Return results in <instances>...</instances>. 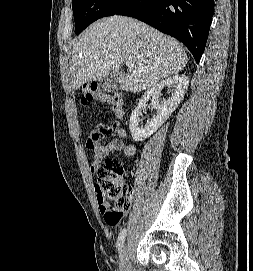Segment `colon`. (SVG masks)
I'll list each match as a JSON object with an SVG mask.
<instances>
[{
  "label": "colon",
  "mask_w": 253,
  "mask_h": 271,
  "mask_svg": "<svg viewBox=\"0 0 253 271\" xmlns=\"http://www.w3.org/2000/svg\"><path fill=\"white\" fill-rule=\"evenodd\" d=\"M93 100L110 104L116 114L122 112L123 104L118 92L107 91L97 84H91L84 88L81 101L87 104ZM122 174V163L111 158L105 159L97 171L95 189L98 201L105 221L111 226L122 220L124 210L133 195L132 188L122 182Z\"/></svg>",
  "instance_id": "obj_1"
}]
</instances>
